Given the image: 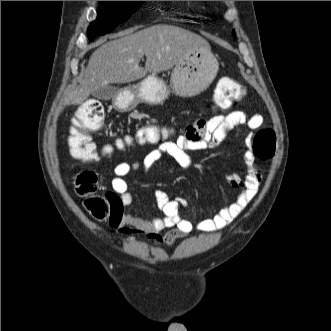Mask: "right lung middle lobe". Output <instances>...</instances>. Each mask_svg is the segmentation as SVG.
I'll use <instances>...</instances> for the list:
<instances>
[{"instance_id":"obj_1","label":"right lung middle lobe","mask_w":331,"mask_h":331,"mask_svg":"<svg viewBox=\"0 0 331 331\" xmlns=\"http://www.w3.org/2000/svg\"><path fill=\"white\" fill-rule=\"evenodd\" d=\"M98 17L88 27L89 40L112 31L119 23L126 21L143 1H98Z\"/></svg>"}]
</instances>
